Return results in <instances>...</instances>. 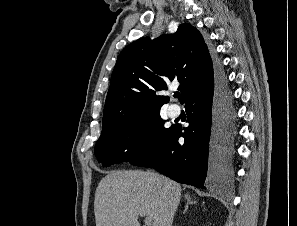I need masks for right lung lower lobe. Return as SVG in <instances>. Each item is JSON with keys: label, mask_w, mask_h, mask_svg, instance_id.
<instances>
[{"label": "right lung lower lobe", "mask_w": 297, "mask_h": 226, "mask_svg": "<svg viewBox=\"0 0 297 226\" xmlns=\"http://www.w3.org/2000/svg\"><path fill=\"white\" fill-rule=\"evenodd\" d=\"M189 126H172L162 142L145 157L130 162L152 167L183 184L205 188L228 181L232 173L235 112L222 68L215 65L214 81L187 99ZM184 137L183 145L178 139Z\"/></svg>", "instance_id": "1"}]
</instances>
